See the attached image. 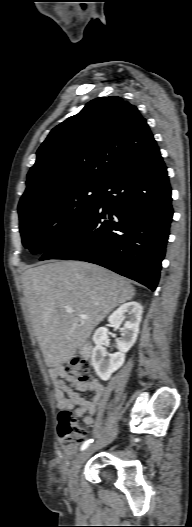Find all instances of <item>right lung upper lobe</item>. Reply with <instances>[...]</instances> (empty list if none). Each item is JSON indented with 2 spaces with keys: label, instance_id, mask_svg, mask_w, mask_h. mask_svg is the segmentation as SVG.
Segmentation results:
<instances>
[{
  "label": "right lung upper lobe",
  "instance_id": "right-lung-upper-lobe-1",
  "mask_svg": "<svg viewBox=\"0 0 192 527\" xmlns=\"http://www.w3.org/2000/svg\"><path fill=\"white\" fill-rule=\"evenodd\" d=\"M152 140L134 105L118 96L94 99L42 143L19 205L84 183L105 185Z\"/></svg>",
  "mask_w": 192,
  "mask_h": 527
}]
</instances>
